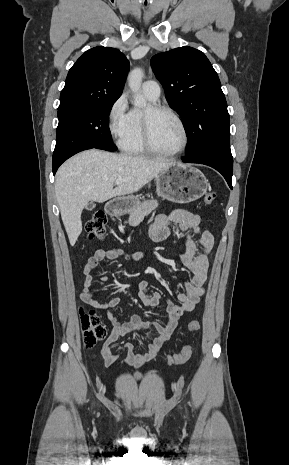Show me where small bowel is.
Returning a JSON list of instances; mask_svg holds the SVG:
<instances>
[{"label":"small bowel","mask_w":289,"mask_h":465,"mask_svg":"<svg viewBox=\"0 0 289 465\" xmlns=\"http://www.w3.org/2000/svg\"><path fill=\"white\" fill-rule=\"evenodd\" d=\"M170 224H175L178 230L186 234L187 249L181 256V262L192 272L193 276L190 281L184 283V291L177 295V304L169 300L166 302L167 318L164 323L143 321L137 315H131L127 320L122 321L111 312L120 303V298L116 297L101 303L94 297L91 289L95 271L100 262L120 257L128 262L140 261L145 259L143 253L127 252L119 247H112L108 250L96 251L85 265L81 299L94 308L106 311L107 318L112 325V330L101 348V355L106 366L114 364L118 354L123 350L127 353L125 364L133 368H140L153 359L176 328L179 318L184 313L192 311L206 291L209 272L208 256L214 244L212 234L202 229L199 215L177 209L169 213H161L156 217L150 229L152 240L160 243L167 241L172 235ZM101 279L104 281L107 276ZM137 289L139 299L145 306L155 307L160 304L161 294L150 291L146 280L140 281ZM148 329H154L157 336L148 344L145 352H135L130 343L124 344L116 351L112 350V345L120 337Z\"/></svg>","instance_id":"c3829d8e"}]
</instances>
